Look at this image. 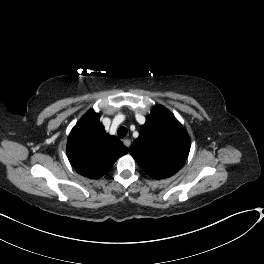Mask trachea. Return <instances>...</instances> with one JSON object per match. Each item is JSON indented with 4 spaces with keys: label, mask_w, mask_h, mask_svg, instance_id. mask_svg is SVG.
Returning <instances> with one entry per match:
<instances>
[{
    "label": "trachea",
    "mask_w": 264,
    "mask_h": 264,
    "mask_svg": "<svg viewBox=\"0 0 264 264\" xmlns=\"http://www.w3.org/2000/svg\"><path fill=\"white\" fill-rule=\"evenodd\" d=\"M127 128L126 127H120L117 131V134L120 138H124L127 135Z\"/></svg>",
    "instance_id": "1"
}]
</instances>
